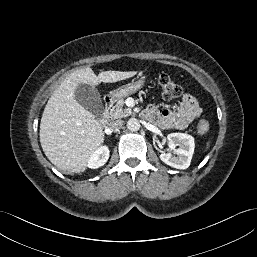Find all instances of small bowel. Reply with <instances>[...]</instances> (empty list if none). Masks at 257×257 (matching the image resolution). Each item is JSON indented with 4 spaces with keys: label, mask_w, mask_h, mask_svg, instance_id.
<instances>
[{
    "label": "small bowel",
    "mask_w": 257,
    "mask_h": 257,
    "mask_svg": "<svg viewBox=\"0 0 257 257\" xmlns=\"http://www.w3.org/2000/svg\"><path fill=\"white\" fill-rule=\"evenodd\" d=\"M143 112L148 119L163 129L183 130L201 115L202 109L193 95L185 93L172 110L148 105Z\"/></svg>",
    "instance_id": "small-bowel-1"
}]
</instances>
